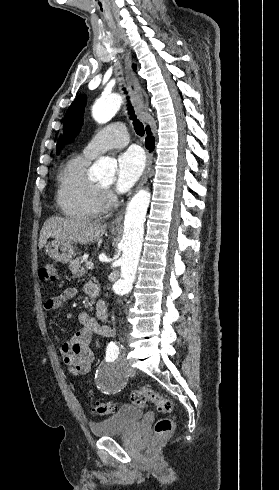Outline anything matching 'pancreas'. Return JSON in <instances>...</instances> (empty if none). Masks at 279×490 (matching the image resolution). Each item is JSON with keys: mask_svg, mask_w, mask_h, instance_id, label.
Masks as SVG:
<instances>
[{"mask_svg": "<svg viewBox=\"0 0 279 490\" xmlns=\"http://www.w3.org/2000/svg\"><path fill=\"white\" fill-rule=\"evenodd\" d=\"M69 270L71 274H73V278H81V276L87 272L84 266H82L80 258H76V260H71V262H69Z\"/></svg>", "mask_w": 279, "mask_h": 490, "instance_id": "cf45deb5", "label": "pancreas"}]
</instances>
